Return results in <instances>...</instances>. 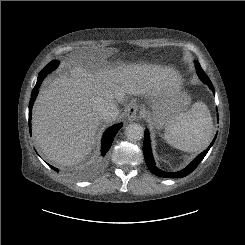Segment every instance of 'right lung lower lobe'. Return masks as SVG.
<instances>
[{
	"label": "right lung lower lobe",
	"mask_w": 245,
	"mask_h": 245,
	"mask_svg": "<svg viewBox=\"0 0 245 245\" xmlns=\"http://www.w3.org/2000/svg\"><path fill=\"white\" fill-rule=\"evenodd\" d=\"M47 75V73L42 72L39 73L38 79H37V83L31 93V99L29 102V130H30V134H31V114H32V107H33V103L36 99V96L38 94V89L43 81V79L45 78V76ZM123 126L122 123L114 125L110 128H108L105 133L103 134L102 137V144H101V154H100V158L98 160V163H100L101 161H103V158L105 157L106 153L108 152V150L111 147V144L113 142V139L116 135V133L121 129V127ZM53 170L58 171L57 168L49 165Z\"/></svg>",
	"instance_id": "obj_1"
}]
</instances>
